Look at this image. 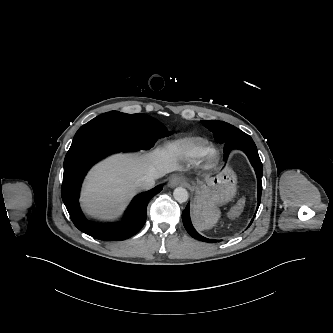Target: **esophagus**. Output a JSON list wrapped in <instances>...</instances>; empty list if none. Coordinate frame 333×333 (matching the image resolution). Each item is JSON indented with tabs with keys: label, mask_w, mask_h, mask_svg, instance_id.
Listing matches in <instances>:
<instances>
[{
	"label": "esophagus",
	"mask_w": 333,
	"mask_h": 333,
	"mask_svg": "<svg viewBox=\"0 0 333 333\" xmlns=\"http://www.w3.org/2000/svg\"><path fill=\"white\" fill-rule=\"evenodd\" d=\"M184 182V179L179 175H172L169 179L168 186L174 188Z\"/></svg>",
	"instance_id": "1"
}]
</instances>
